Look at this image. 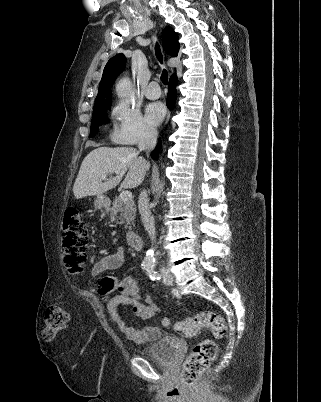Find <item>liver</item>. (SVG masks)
<instances>
[{
    "label": "liver",
    "mask_w": 321,
    "mask_h": 402,
    "mask_svg": "<svg viewBox=\"0 0 321 402\" xmlns=\"http://www.w3.org/2000/svg\"><path fill=\"white\" fill-rule=\"evenodd\" d=\"M149 163L133 147H98L82 161L73 186L76 199L86 196H99L121 183L122 188H135L144 180ZM116 173L107 180L104 174ZM105 180V181H103Z\"/></svg>",
    "instance_id": "obj_1"
}]
</instances>
